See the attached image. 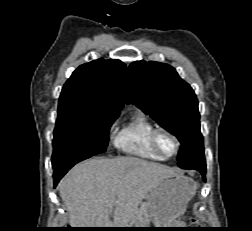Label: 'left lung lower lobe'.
<instances>
[{
	"label": "left lung lower lobe",
	"instance_id": "1",
	"mask_svg": "<svg viewBox=\"0 0 252 231\" xmlns=\"http://www.w3.org/2000/svg\"><path fill=\"white\" fill-rule=\"evenodd\" d=\"M183 169H196L202 174V177L205 178V172H206V165L205 164L198 165V166H190V167L183 168Z\"/></svg>",
	"mask_w": 252,
	"mask_h": 231
}]
</instances>
